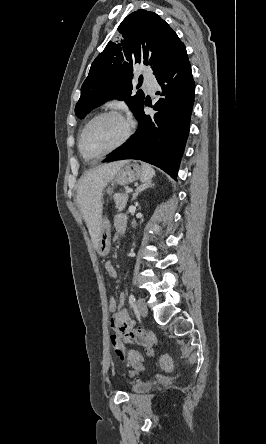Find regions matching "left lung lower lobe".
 <instances>
[{
	"label": "left lung lower lobe",
	"mask_w": 266,
	"mask_h": 444,
	"mask_svg": "<svg viewBox=\"0 0 266 444\" xmlns=\"http://www.w3.org/2000/svg\"><path fill=\"white\" fill-rule=\"evenodd\" d=\"M163 96L154 105V116L145 115L144 104L135 115L139 128L134 137L103 162L140 159L158 166L175 180L189 133L195 84L185 52L171 67L156 76Z\"/></svg>",
	"instance_id": "1"
}]
</instances>
